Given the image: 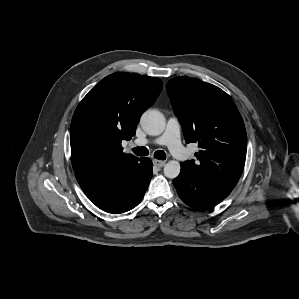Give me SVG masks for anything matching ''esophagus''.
Listing matches in <instances>:
<instances>
[{"label":"esophagus","mask_w":299,"mask_h":299,"mask_svg":"<svg viewBox=\"0 0 299 299\" xmlns=\"http://www.w3.org/2000/svg\"><path fill=\"white\" fill-rule=\"evenodd\" d=\"M165 161H161V160H157V159H154L153 160V164L157 167H163L165 165Z\"/></svg>","instance_id":"esophagus-1"}]
</instances>
